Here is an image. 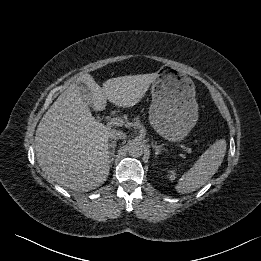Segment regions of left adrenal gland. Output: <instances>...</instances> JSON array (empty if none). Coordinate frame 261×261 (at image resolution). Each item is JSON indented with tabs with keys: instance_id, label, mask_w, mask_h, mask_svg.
Returning a JSON list of instances; mask_svg holds the SVG:
<instances>
[{
	"instance_id": "a2214340",
	"label": "left adrenal gland",
	"mask_w": 261,
	"mask_h": 261,
	"mask_svg": "<svg viewBox=\"0 0 261 261\" xmlns=\"http://www.w3.org/2000/svg\"><path fill=\"white\" fill-rule=\"evenodd\" d=\"M152 147L155 149L156 156L159 155L161 151H166V149H164L161 145H157L156 143L152 144Z\"/></svg>"
}]
</instances>
